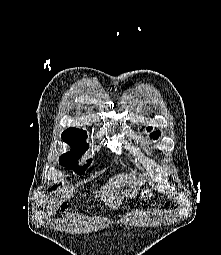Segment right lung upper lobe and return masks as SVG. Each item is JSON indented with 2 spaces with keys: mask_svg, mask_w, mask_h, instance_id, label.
Returning <instances> with one entry per match:
<instances>
[{
  "mask_svg": "<svg viewBox=\"0 0 221 255\" xmlns=\"http://www.w3.org/2000/svg\"><path fill=\"white\" fill-rule=\"evenodd\" d=\"M67 130H72V131H81V132H85V131H83V130H81V129H76V128H69V129H67Z\"/></svg>",
  "mask_w": 221,
  "mask_h": 255,
  "instance_id": "right-lung-upper-lobe-1",
  "label": "right lung upper lobe"
}]
</instances>
